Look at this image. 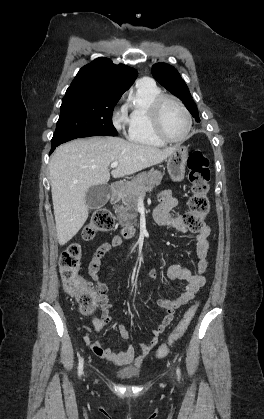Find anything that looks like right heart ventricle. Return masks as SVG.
<instances>
[{
    "label": "right heart ventricle",
    "mask_w": 264,
    "mask_h": 419,
    "mask_svg": "<svg viewBox=\"0 0 264 419\" xmlns=\"http://www.w3.org/2000/svg\"><path fill=\"white\" fill-rule=\"evenodd\" d=\"M161 94L152 81H139L128 97L125 109L128 113L127 137L130 141L147 146L164 144L154 133L151 122V105Z\"/></svg>",
    "instance_id": "e07e8e85"
}]
</instances>
